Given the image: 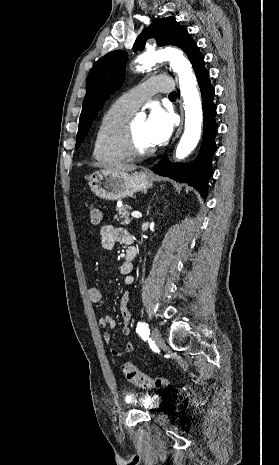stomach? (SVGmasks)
<instances>
[{"label":"stomach","mask_w":279,"mask_h":465,"mask_svg":"<svg viewBox=\"0 0 279 465\" xmlns=\"http://www.w3.org/2000/svg\"><path fill=\"white\" fill-rule=\"evenodd\" d=\"M88 185L99 198L120 200L132 197L136 192L146 191L153 186V182L144 172L129 174L102 170L89 175Z\"/></svg>","instance_id":"stomach-1"}]
</instances>
